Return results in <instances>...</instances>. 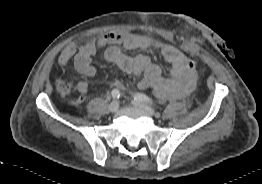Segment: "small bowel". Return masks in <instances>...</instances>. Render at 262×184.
I'll return each mask as SVG.
<instances>
[{
    "label": "small bowel",
    "instance_id": "1",
    "mask_svg": "<svg viewBox=\"0 0 262 184\" xmlns=\"http://www.w3.org/2000/svg\"><path fill=\"white\" fill-rule=\"evenodd\" d=\"M190 40L193 44L200 46L207 42L205 36L197 33L192 34ZM104 48V56L108 62L126 73L142 75V78L137 82L138 89L152 88L159 98H180L193 91L197 79L196 71H194L193 87L190 91L184 90V84L187 80L186 61L188 57L171 44L149 36L107 33L100 39L88 41L80 47L74 44L66 46L58 57V63L65 66L73 60L75 69L80 74L92 77L96 73L92 65V57ZM148 48L159 50L163 58L170 63L171 68L166 76L148 56L133 54ZM77 89L80 93L77 98L78 103H82L88 89L87 83L85 81L78 82Z\"/></svg>",
    "mask_w": 262,
    "mask_h": 184
}]
</instances>
